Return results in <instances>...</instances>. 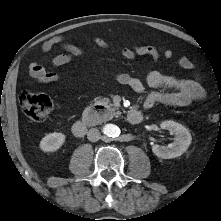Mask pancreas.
<instances>
[{
  "mask_svg": "<svg viewBox=\"0 0 221 221\" xmlns=\"http://www.w3.org/2000/svg\"><path fill=\"white\" fill-rule=\"evenodd\" d=\"M102 103L108 105L109 104V99L108 98H105L103 100H101ZM112 104H109L108 105V115L107 117H102V116H98V114L96 113H93V114H90V115H84L83 116V119L84 121L89 125V126H92V125H97V124H100L106 120H109L111 119L114 115L118 114V112H115L117 110V108L113 107L112 108Z\"/></svg>",
  "mask_w": 221,
  "mask_h": 221,
  "instance_id": "pancreas-1",
  "label": "pancreas"
}]
</instances>
